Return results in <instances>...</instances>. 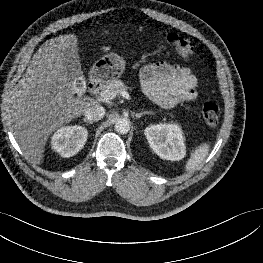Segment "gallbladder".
Listing matches in <instances>:
<instances>
[{
	"label": "gallbladder",
	"instance_id": "obj_1",
	"mask_svg": "<svg viewBox=\"0 0 263 263\" xmlns=\"http://www.w3.org/2000/svg\"><path fill=\"white\" fill-rule=\"evenodd\" d=\"M63 66L65 67L68 77L72 82L83 77V71L77 52L67 49L63 56Z\"/></svg>",
	"mask_w": 263,
	"mask_h": 263
}]
</instances>
